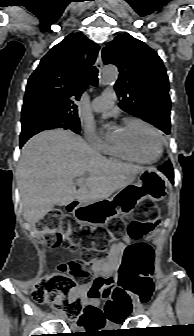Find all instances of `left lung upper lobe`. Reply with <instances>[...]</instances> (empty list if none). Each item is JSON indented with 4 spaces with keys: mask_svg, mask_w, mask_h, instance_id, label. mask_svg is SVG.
I'll use <instances>...</instances> for the list:
<instances>
[{
    "mask_svg": "<svg viewBox=\"0 0 194 336\" xmlns=\"http://www.w3.org/2000/svg\"><path fill=\"white\" fill-rule=\"evenodd\" d=\"M105 64L119 69L114 86L126 112L170 133L171 100L166 69L158 54L129 34L117 36L102 50Z\"/></svg>",
    "mask_w": 194,
    "mask_h": 336,
    "instance_id": "5c2ea615",
    "label": "left lung upper lobe"
}]
</instances>
